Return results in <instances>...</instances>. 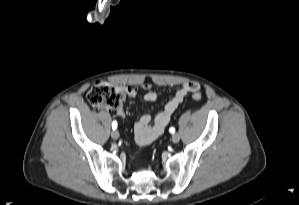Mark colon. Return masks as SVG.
Wrapping results in <instances>:
<instances>
[{
  "instance_id": "5ec220e1",
  "label": "colon",
  "mask_w": 299,
  "mask_h": 205,
  "mask_svg": "<svg viewBox=\"0 0 299 205\" xmlns=\"http://www.w3.org/2000/svg\"><path fill=\"white\" fill-rule=\"evenodd\" d=\"M125 89L106 81H97L88 93V101L95 107L117 109L122 105L125 98ZM195 101H201L202 95L195 91L192 94Z\"/></svg>"
}]
</instances>
